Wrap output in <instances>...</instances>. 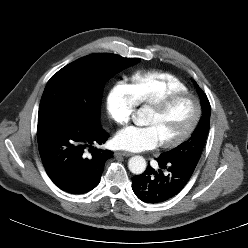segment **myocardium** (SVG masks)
Wrapping results in <instances>:
<instances>
[{
  "label": "myocardium",
  "mask_w": 248,
  "mask_h": 248,
  "mask_svg": "<svg viewBox=\"0 0 248 248\" xmlns=\"http://www.w3.org/2000/svg\"><path fill=\"white\" fill-rule=\"evenodd\" d=\"M184 98H190L194 102L195 105V112L192 118L191 123L186 128V130L176 137L175 139L163 141L160 142V146L163 148H174L185 142L195 131V129L198 126V123L200 121L201 115H202V104L200 99L190 93V92H173L169 93L163 97H161L159 100L154 102L153 104L149 105V108L157 113H163L165 112L173 103L180 99Z\"/></svg>",
  "instance_id": "obj_1"
}]
</instances>
